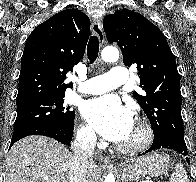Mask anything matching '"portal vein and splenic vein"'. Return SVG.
<instances>
[{"mask_svg": "<svg viewBox=\"0 0 196 182\" xmlns=\"http://www.w3.org/2000/svg\"><path fill=\"white\" fill-rule=\"evenodd\" d=\"M144 182H152L151 180H147V181H144Z\"/></svg>", "mask_w": 196, "mask_h": 182, "instance_id": "portal-vein-and-splenic-vein-1", "label": "portal vein and splenic vein"}]
</instances>
